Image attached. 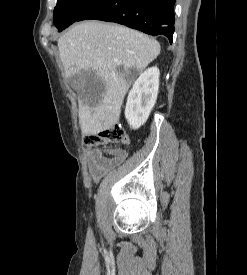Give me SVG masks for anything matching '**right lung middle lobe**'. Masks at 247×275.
<instances>
[{
    "mask_svg": "<svg viewBox=\"0 0 247 275\" xmlns=\"http://www.w3.org/2000/svg\"><path fill=\"white\" fill-rule=\"evenodd\" d=\"M97 1L98 0H57L53 19L59 32L76 22L79 16Z\"/></svg>",
    "mask_w": 247,
    "mask_h": 275,
    "instance_id": "1",
    "label": "right lung middle lobe"
}]
</instances>
